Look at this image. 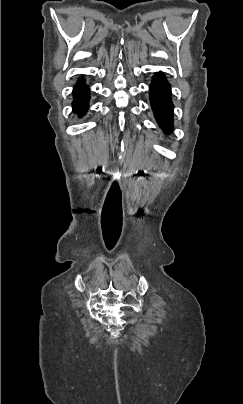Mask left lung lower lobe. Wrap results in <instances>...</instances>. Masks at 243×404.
I'll list each match as a JSON object with an SVG mask.
<instances>
[{"label": "left lung lower lobe", "instance_id": "1", "mask_svg": "<svg viewBox=\"0 0 243 404\" xmlns=\"http://www.w3.org/2000/svg\"><path fill=\"white\" fill-rule=\"evenodd\" d=\"M150 101L160 127L169 133L173 124L171 88L163 73H156L150 84Z\"/></svg>", "mask_w": 243, "mask_h": 404}]
</instances>
